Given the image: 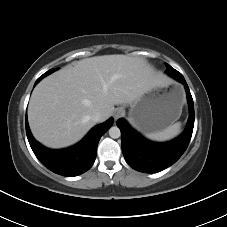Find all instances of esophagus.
<instances>
[{"mask_svg": "<svg viewBox=\"0 0 227 227\" xmlns=\"http://www.w3.org/2000/svg\"><path fill=\"white\" fill-rule=\"evenodd\" d=\"M125 114V110L122 107H118L117 109H115L114 111V118L115 120L119 119L120 117H122Z\"/></svg>", "mask_w": 227, "mask_h": 227, "instance_id": "34e87169", "label": "esophagus"}]
</instances>
